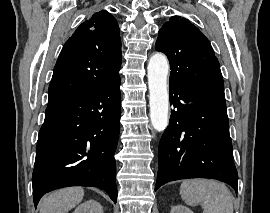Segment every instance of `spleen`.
<instances>
[{
    "label": "spleen",
    "instance_id": "spleen-1",
    "mask_svg": "<svg viewBox=\"0 0 270 213\" xmlns=\"http://www.w3.org/2000/svg\"><path fill=\"white\" fill-rule=\"evenodd\" d=\"M182 200L189 206L200 204L203 213H233V199L227 187L215 180L189 179L180 186Z\"/></svg>",
    "mask_w": 270,
    "mask_h": 213
}]
</instances>
